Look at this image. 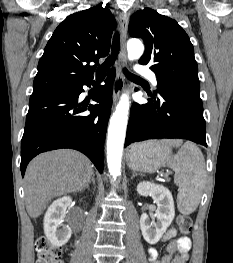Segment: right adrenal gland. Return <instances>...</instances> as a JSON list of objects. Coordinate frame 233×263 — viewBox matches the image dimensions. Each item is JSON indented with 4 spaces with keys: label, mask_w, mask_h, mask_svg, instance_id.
I'll list each match as a JSON object with an SVG mask.
<instances>
[{
    "label": "right adrenal gland",
    "mask_w": 233,
    "mask_h": 263,
    "mask_svg": "<svg viewBox=\"0 0 233 263\" xmlns=\"http://www.w3.org/2000/svg\"><path fill=\"white\" fill-rule=\"evenodd\" d=\"M91 181H92L93 185H95V176H94V174H93V176H92ZM86 188L89 189V186H87Z\"/></svg>",
    "instance_id": "right-adrenal-gland-1"
}]
</instances>
